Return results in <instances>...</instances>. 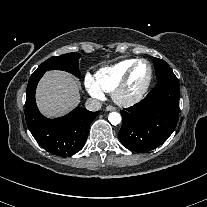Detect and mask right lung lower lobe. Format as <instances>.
Returning a JSON list of instances; mask_svg holds the SVG:
<instances>
[{"label": "right lung lower lobe", "instance_id": "obj_1", "mask_svg": "<svg viewBox=\"0 0 207 207\" xmlns=\"http://www.w3.org/2000/svg\"><path fill=\"white\" fill-rule=\"evenodd\" d=\"M44 73L32 74L27 90L25 118L27 126L41 147L57 156H70L79 152L87 139L89 126L99 111L90 112L76 107L69 114L48 119L38 110L35 90Z\"/></svg>", "mask_w": 207, "mask_h": 207}]
</instances>
